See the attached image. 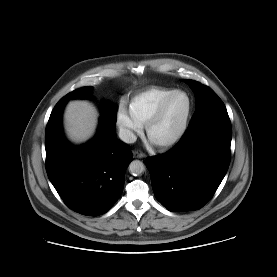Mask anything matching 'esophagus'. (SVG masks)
<instances>
[{"mask_svg":"<svg viewBox=\"0 0 277 277\" xmlns=\"http://www.w3.org/2000/svg\"><path fill=\"white\" fill-rule=\"evenodd\" d=\"M133 155L135 158H145L146 157V155L144 153H142L141 151H138V150L134 151Z\"/></svg>","mask_w":277,"mask_h":277,"instance_id":"obj_1","label":"esophagus"}]
</instances>
